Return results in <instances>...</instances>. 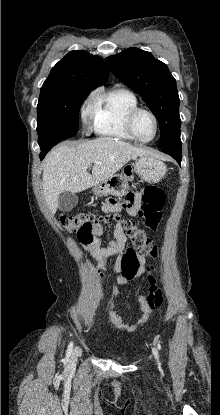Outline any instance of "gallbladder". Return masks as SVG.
I'll return each instance as SVG.
<instances>
[{
  "label": "gallbladder",
  "instance_id": "bac80fb5",
  "mask_svg": "<svg viewBox=\"0 0 220 415\" xmlns=\"http://www.w3.org/2000/svg\"><path fill=\"white\" fill-rule=\"evenodd\" d=\"M78 203V196L71 192H62L58 196L59 210L66 212L72 210Z\"/></svg>",
  "mask_w": 220,
  "mask_h": 415
}]
</instances>
